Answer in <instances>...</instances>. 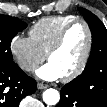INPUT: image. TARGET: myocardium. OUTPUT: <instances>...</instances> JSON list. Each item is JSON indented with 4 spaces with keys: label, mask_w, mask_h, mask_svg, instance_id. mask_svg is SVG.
I'll return each instance as SVG.
<instances>
[{
    "label": "myocardium",
    "mask_w": 107,
    "mask_h": 107,
    "mask_svg": "<svg viewBox=\"0 0 107 107\" xmlns=\"http://www.w3.org/2000/svg\"><path fill=\"white\" fill-rule=\"evenodd\" d=\"M77 24L84 26L86 30V33H87L86 48L83 53L82 59L79 65L76 67V69L72 71L71 73H69L68 75L62 76L63 82H70L78 78L84 72V70L86 69L88 65V62L92 53V49H93V32L88 22H86L83 19H75L71 21L70 23H68L66 26H64L63 29L58 34L55 42L52 44V46L50 47V49L48 50L46 54V58L49 60L51 55L62 47L70 29Z\"/></svg>",
    "instance_id": "f54148a6"
}]
</instances>
